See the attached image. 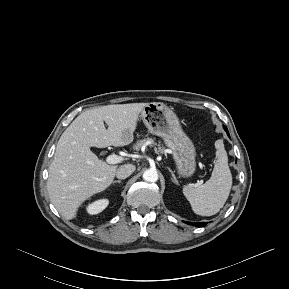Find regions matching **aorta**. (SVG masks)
Here are the masks:
<instances>
[{"label":"aorta","mask_w":289,"mask_h":289,"mask_svg":"<svg viewBox=\"0 0 289 289\" xmlns=\"http://www.w3.org/2000/svg\"><path fill=\"white\" fill-rule=\"evenodd\" d=\"M143 179L147 182H156L158 180V173L155 169H148L143 173Z\"/></svg>","instance_id":"aorta-1"}]
</instances>
